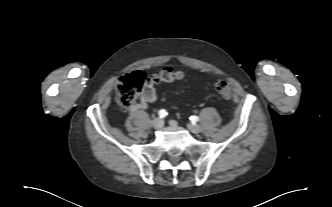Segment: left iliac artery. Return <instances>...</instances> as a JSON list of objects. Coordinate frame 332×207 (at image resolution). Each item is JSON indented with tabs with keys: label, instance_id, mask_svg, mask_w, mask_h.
I'll return each mask as SVG.
<instances>
[{
	"label": "left iliac artery",
	"instance_id": "left-iliac-artery-1",
	"mask_svg": "<svg viewBox=\"0 0 332 207\" xmlns=\"http://www.w3.org/2000/svg\"><path fill=\"white\" fill-rule=\"evenodd\" d=\"M190 119L194 122L198 121L199 120V117L198 116H191Z\"/></svg>",
	"mask_w": 332,
	"mask_h": 207
}]
</instances>
